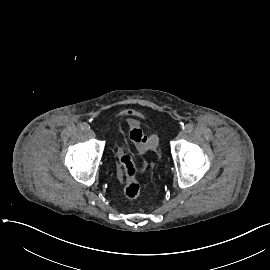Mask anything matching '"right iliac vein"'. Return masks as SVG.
Segmentation results:
<instances>
[{"label": "right iliac vein", "mask_w": 270, "mask_h": 270, "mask_svg": "<svg viewBox=\"0 0 270 270\" xmlns=\"http://www.w3.org/2000/svg\"><path fill=\"white\" fill-rule=\"evenodd\" d=\"M88 135H89V137H91V138H95V133H94L93 130H88Z\"/></svg>", "instance_id": "1"}]
</instances>
